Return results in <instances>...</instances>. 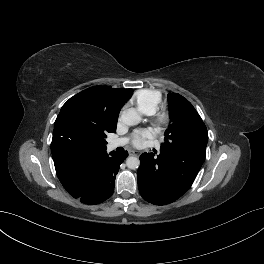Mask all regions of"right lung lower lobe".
I'll return each instance as SVG.
<instances>
[{
	"label": "right lung lower lobe",
	"mask_w": 264,
	"mask_h": 264,
	"mask_svg": "<svg viewBox=\"0 0 264 264\" xmlns=\"http://www.w3.org/2000/svg\"><path fill=\"white\" fill-rule=\"evenodd\" d=\"M127 156V152L108 155L104 150L83 160L67 179L60 181L82 203H102L113 194L116 174Z\"/></svg>",
	"instance_id": "1"
}]
</instances>
